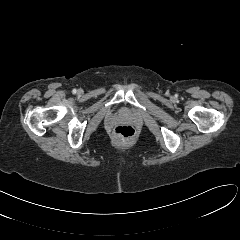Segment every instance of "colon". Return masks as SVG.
Listing matches in <instances>:
<instances>
[{
    "instance_id": "1",
    "label": "colon",
    "mask_w": 240,
    "mask_h": 240,
    "mask_svg": "<svg viewBox=\"0 0 240 240\" xmlns=\"http://www.w3.org/2000/svg\"><path fill=\"white\" fill-rule=\"evenodd\" d=\"M115 134L124 139H130L135 135V129L130 125H119L115 128Z\"/></svg>"
}]
</instances>
